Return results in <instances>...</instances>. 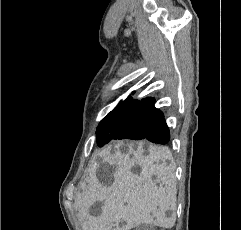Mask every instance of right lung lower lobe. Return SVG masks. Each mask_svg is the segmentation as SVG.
Listing matches in <instances>:
<instances>
[{
    "label": "right lung lower lobe",
    "mask_w": 241,
    "mask_h": 230,
    "mask_svg": "<svg viewBox=\"0 0 241 230\" xmlns=\"http://www.w3.org/2000/svg\"><path fill=\"white\" fill-rule=\"evenodd\" d=\"M135 114L127 113L126 115ZM138 138L147 139L153 143L167 144L170 140V133L164 119L163 112L154 107V99L148 103V107L141 114V120L132 127Z\"/></svg>",
    "instance_id": "1"
}]
</instances>
